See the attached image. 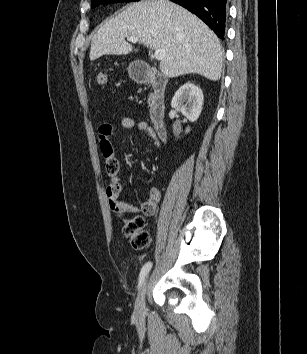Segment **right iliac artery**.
Masks as SVG:
<instances>
[{"label":"right iliac artery","instance_id":"1","mask_svg":"<svg viewBox=\"0 0 307 354\" xmlns=\"http://www.w3.org/2000/svg\"><path fill=\"white\" fill-rule=\"evenodd\" d=\"M152 268V262H147L144 264V266L142 267L140 274H139V284L138 287L140 288L147 276V274L149 273V271Z\"/></svg>","mask_w":307,"mask_h":354}]
</instances>
